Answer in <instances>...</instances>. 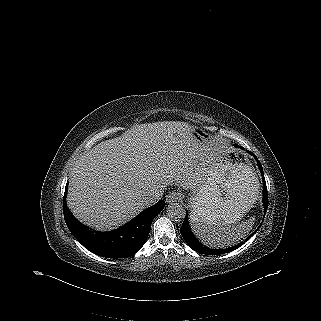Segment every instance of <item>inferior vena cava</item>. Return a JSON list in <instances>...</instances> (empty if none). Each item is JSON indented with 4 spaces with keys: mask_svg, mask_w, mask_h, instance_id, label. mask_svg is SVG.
<instances>
[{
    "mask_svg": "<svg viewBox=\"0 0 321 321\" xmlns=\"http://www.w3.org/2000/svg\"><path fill=\"white\" fill-rule=\"evenodd\" d=\"M163 191H155L151 194H147L143 197L144 204L148 207L155 204L162 197Z\"/></svg>",
    "mask_w": 321,
    "mask_h": 321,
    "instance_id": "602c4592",
    "label": "inferior vena cava"
}]
</instances>
